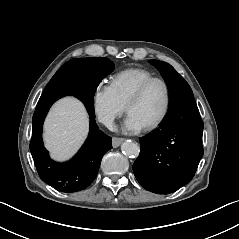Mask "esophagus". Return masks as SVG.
Segmentation results:
<instances>
[{
	"label": "esophagus",
	"instance_id": "esophagus-1",
	"mask_svg": "<svg viewBox=\"0 0 239 239\" xmlns=\"http://www.w3.org/2000/svg\"><path fill=\"white\" fill-rule=\"evenodd\" d=\"M125 139L124 138H120V137H113L112 139V145L114 148H117L121 143L122 141H124Z\"/></svg>",
	"mask_w": 239,
	"mask_h": 239
}]
</instances>
